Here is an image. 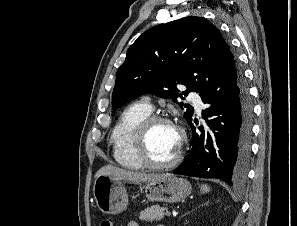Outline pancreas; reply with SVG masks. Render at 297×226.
Wrapping results in <instances>:
<instances>
[{"label":"pancreas","instance_id":"cf45deb5","mask_svg":"<svg viewBox=\"0 0 297 226\" xmlns=\"http://www.w3.org/2000/svg\"><path fill=\"white\" fill-rule=\"evenodd\" d=\"M166 208L154 205L140 212L139 219L147 222L160 221L164 218Z\"/></svg>","mask_w":297,"mask_h":226}]
</instances>
